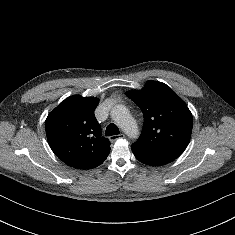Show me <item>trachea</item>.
Listing matches in <instances>:
<instances>
[{
    "label": "trachea",
    "instance_id": "obj_1",
    "mask_svg": "<svg viewBox=\"0 0 235 235\" xmlns=\"http://www.w3.org/2000/svg\"><path fill=\"white\" fill-rule=\"evenodd\" d=\"M118 134H120V131L114 123H111L107 126L106 136H112V135H118Z\"/></svg>",
    "mask_w": 235,
    "mask_h": 235
}]
</instances>
